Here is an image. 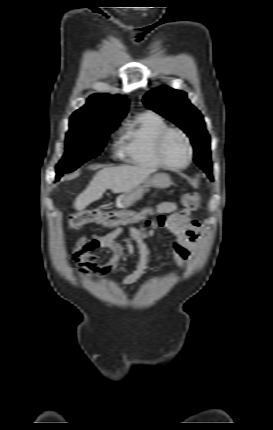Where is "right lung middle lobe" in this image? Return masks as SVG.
<instances>
[{
	"label": "right lung middle lobe",
	"instance_id": "dd1d6c3e",
	"mask_svg": "<svg viewBox=\"0 0 273 430\" xmlns=\"http://www.w3.org/2000/svg\"><path fill=\"white\" fill-rule=\"evenodd\" d=\"M120 122L70 119L66 135L65 155L56 167L58 180L62 174L72 172L87 160L96 157L106 144L108 136Z\"/></svg>",
	"mask_w": 273,
	"mask_h": 430
}]
</instances>
